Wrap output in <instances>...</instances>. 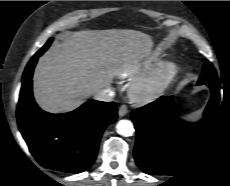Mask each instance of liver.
Listing matches in <instances>:
<instances>
[{
    "instance_id": "6515ba94",
    "label": "liver",
    "mask_w": 230,
    "mask_h": 186,
    "mask_svg": "<svg viewBox=\"0 0 230 186\" xmlns=\"http://www.w3.org/2000/svg\"><path fill=\"white\" fill-rule=\"evenodd\" d=\"M152 44L149 35L135 30L66 33L39 58L33 78L35 100L50 113L72 111L123 70L137 65Z\"/></svg>"
}]
</instances>
